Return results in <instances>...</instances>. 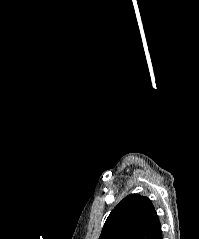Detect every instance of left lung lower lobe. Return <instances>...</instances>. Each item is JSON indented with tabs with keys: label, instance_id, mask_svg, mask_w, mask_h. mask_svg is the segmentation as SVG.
<instances>
[{
	"label": "left lung lower lobe",
	"instance_id": "left-lung-lower-lobe-1",
	"mask_svg": "<svg viewBox=\"0 0 199 239\" xmlns=\"http://www.w3.org/2000/svg\"><path fill=\"white\" fill-rule=\"evenodd\" d=\"M154 239H162V231H161V226L158 230V232L156 233Z\"/></svg>",
	"mask_w": 199,
	"mask_h": 239
}]
</instances>
